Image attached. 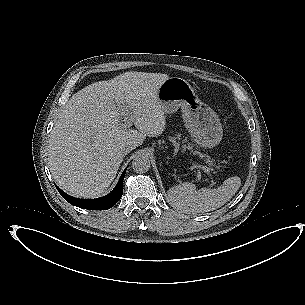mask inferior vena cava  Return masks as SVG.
<instances>
[{
    "instance_id": "obj_1",
    "label": "inferior vena cava",
    "mask_w": 305,
    "mask_h": 305,
    "mask_svg": "<svg viewBox=\"0 0 305 305\" xmlns=\"http://www.w3.org/2000/svg\"><path fill=\"white\" fill-rule=\"evenodd\" d=\"M122 152L126 155L129 152H131L133 149H135V145L131 143H124L121 146Z\"/></svg>"
}]
</instances>
